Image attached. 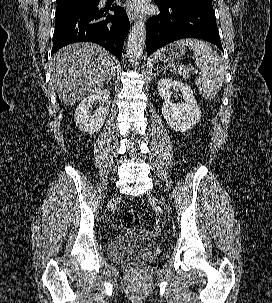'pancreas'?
<instances>
[{
  "instance_id": "cf45deb5",
  "label": "pancreas",
  "mask_w": 272,
  "mask_h": 303,
  "mask_svg": "<svg viewBox=\"0 0 272 303\" xmlns=\"http://www.w3.org/2000/svg\"><path fill=\"white\" fill-rule=\"evenodd\" d=\"M176 72H178L180 75H183L184 77L186 76V74L183 73V72H181V71H176V70H175V73H176Z\"/></svg>"
}]
</instances>
